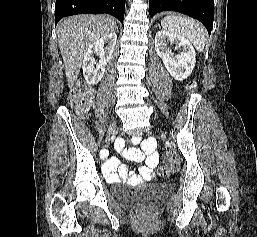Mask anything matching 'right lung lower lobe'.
<instances>
[{"label": "right lung lower lobe", "instance_id": "98d812e1", "mask_svg": "<svg viewBox=\"0 0 257 237\" xmlns=\"http://www.w3.org/2000/svg\"><path fill=\"white\" fill-rule=\"evenodd\" d=\"M126 0H56L55 25L63 17L75 14L107 13L123 22Z\"/></svg>", "mask_w": 257, "mask_h": 237}]
</instances>
